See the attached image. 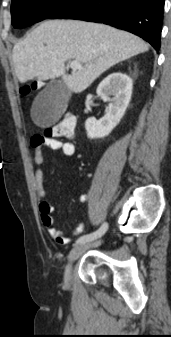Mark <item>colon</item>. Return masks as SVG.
I'll use <instances>...</instances> for the list:
<instances>
[{"label": "colon", "instance_id": "obj_1", "mask_svg": "<svg viewBox=\"0 0 171 337\" xmlns=\"http://www.w3.org/2000/svg\"><path fill=\"white\" fill-rule=\"evenodd\" d=\"M33 85H26L22 89V93L24 95L29 94L32 90H34ZM75 130V120L73 117L68 116L64 118L61 122L49 126L45 130V136L50 138H69L74 134Z\"/></svg>", "mask_w": 171, "mask_h": 337}]
</instances>
